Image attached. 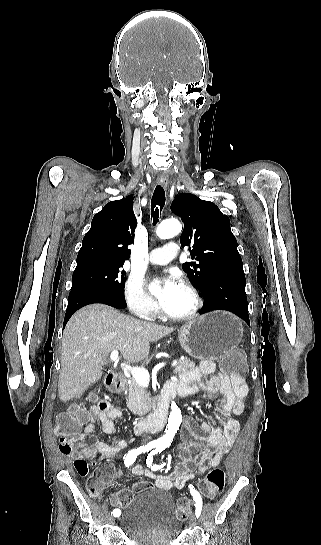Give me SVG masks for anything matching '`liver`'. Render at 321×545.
<instances>
[{"instance_id":"1","label":"liver","mask_w":321,"mask_h":545,"mask_svg":"<svg viewBox=\"0 0 321 545\" xmlns=\"http://www.w3.org/2000/svg\"><path fill=\"white\" fill-rule=\"evenodd\" d=\"M174 327L139 321L108 305H87L66 325L62 339L60 401L79 399L102 377L111 351H120L128 363L149 355L150 343L173 333Z\"/></svg>"}]
</instances>
